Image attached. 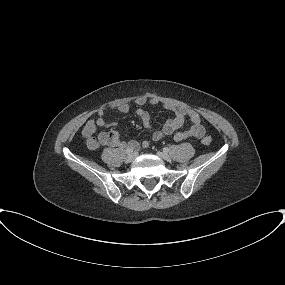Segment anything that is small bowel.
<instances>
[{"instance_id":"obj_1","label":"small bowel","mask_w":285,"mask_h":285,"mask_svg":"<svg viewBox=\"0 0 285 285\" xmlns=\"http://www.w3.org/2000/svg\"><path fill=\"white\" fill-rule=\"evenodd\" d=\"M158 104H161L165 110L172 112L174 116L166 120L161 130L153 132L152 139L154 141H160L164 136L172 134L174 135V140L177 142L185 141L189 138L201 139L204 137L205 128L202 124L200 115L196 111L183 106L172 103H161L157 98L140 96L132 102L119 104L116 109L118 112L125 114L130 111L132 105L138 106V109L136 110L137 116L141 119L145 128L151 129V116L143 107L145 105ZM187 118L191 122V127L186 130L178 131ZM115 126H117L116 121L108 120L104 111H99L97 118L89 120L83 127L82 134L86 139L87 146L90 149H96L101 145H109L117 148L130 147L134 150H138L140 147L147 148L149 146V141L147 140H144L141 143H138L135 140L125 142L121 139L119 132L116 130L100 133L97 137L94 136L98 127Z\"/></svg>"}]
</instances>
